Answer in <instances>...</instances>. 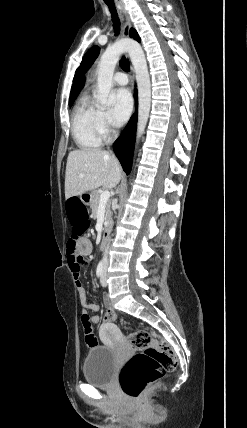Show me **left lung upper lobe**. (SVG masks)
I'll return each mask as SVG.
<instances>
[{
	"mask_svg": "<svg viewBox=\"0 0 247 428\" xmlns=\"http://www.w3.org/2000/svg\"><path fill=\"white\" fill-rule=\"evenodd\" d=\"M99 47L93 46L89 51L84 55L83 60L80 64V67L77 69L74 79L81 73L88 70V68L93 64L95 59L99 54Z\"/></svg>",
	"mask_w": 247,
	"mask_h": 428,
	"instance_id": "left-lung-upper-lobe-1",
	"label": "left lung upper lobe"
}]
</instances>
